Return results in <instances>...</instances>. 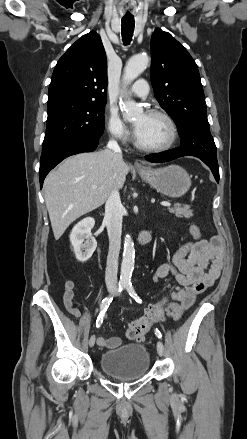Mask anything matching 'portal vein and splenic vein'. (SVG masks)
I'll return each mask as SVG.
<instances>
[{
    "label": "portal vein and splenic vein",
    "mask_w": 247,
    "mask_h": 439,
    "mask_svg": "<svg viewBox=\"0 0 247 439\" xmlns=\"http://www.w3.org/2000/svg\"><path fill=\"white\" fill-rule=\"evenodd\" d=\"M92 188L95 189L96 186H92ZM160 204H161L162 206H167V207L171 206V203H170V202H167V201H163V202H161Z\"/></svg>",
    "instance_id": "obj_1"
}]
</instances>
